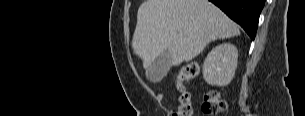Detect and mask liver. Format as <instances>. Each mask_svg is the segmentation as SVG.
Returning <instances> with one entry per match:
<instances>
[{
	"label": "liver",
	"instance_id": "6515ba94",
	"mask_svg": "<svg viewBox=\"0 0 305 116\" xmlns=\"http://www.w3.org/2000/svg\"><path fill=\"white\" fill-rule=\"evenodd\" d=\"M239 34L237 24L208 0H146L138 9L132 47L145 69L165 51L178 66L211 41Z\"/></svg>",
	"mask_w": 305,
	"mask_h": 116
}]
</instances>
